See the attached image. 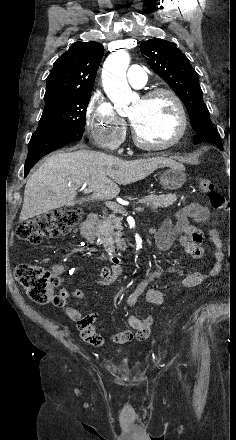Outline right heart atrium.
<instances>
[{"instance_id": "1", "label": "right heart atrium", "mask_w": 236, "mask_h": 440, "mask_svg": "<svg viewBox=\"0 0 236 440\" xmlns=\"http://www.w3.org/2000/svg\"><path fill=\"white\" fill-rule=\"evenodd\" d=\"M85 123L94 143L115 151L125 136V122L100 91L92 94L85 111Z\"/></svg>"}]
</instances>
